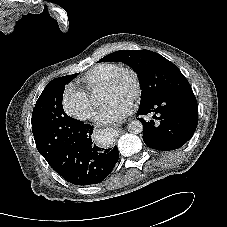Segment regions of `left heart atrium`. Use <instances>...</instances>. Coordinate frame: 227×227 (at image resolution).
Instances as JSON below:
<instances>
[{"label": "left heart atrium", "instance_id": "left-heart-atrium-1", "mask_svg": "<svg viewBox=\"0 0 227 227\" xmlns=\"http://www.w3.org/2000/svg\"><path fill=\"white\" fill-rule=\"evenodd\" d=\"M132 110L131 100L114 99L106 102L99 119L103 124H113L124 119Z\"/></svg>", "mask_w": 227, "mask_h": 227}]
</instances>
